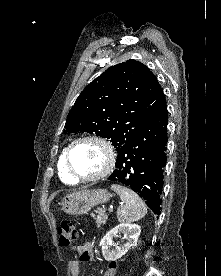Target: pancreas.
I'll use <instances>...</instances> for the list:
<instances>
[{"label": "pancreas", "instance_id": "obj_1", "mask_svg": "<svg viewBox=\"0 0 221 276\" xmlns=\"http://www.w3.org/2000/svg\"><path fill=\"white\" fill-rule=\"evenodd\" d=\"M92 217L96 219V224L98 226L105 224L107 220V215H105L103 212H99V214L96 217L94 214H92Z\"/></svg>", "mask_w": 221, "mask_h": 276}]
</instances>
